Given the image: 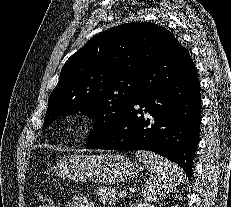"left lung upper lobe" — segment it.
<instances>
[{"label": "left lung upper lobe", "instance_id": "5c2ea615", "mask_svg": "<svg viewBox=\"0 0 231 207\" xmlns=\"http://www.w3.org/2000/svg\"><path fill=\"white\" fill-rule=\"evenodd\" d=\"M175 41L166 28L139 22L119 25L90 39L62 68L48 99L42 130L61 115L81 111L95 119L87 146L104 140L137 99L141 75Z\"/></svg>", "mask_w": 231, "mask_h": 207}]
</instances>
